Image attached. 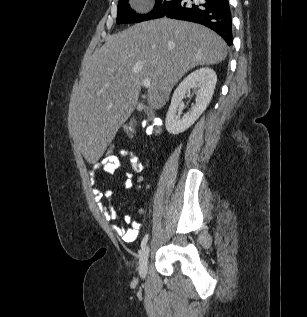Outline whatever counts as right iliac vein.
Listing matches in <instances>:
<instances>
[{
	"label": "right iliac vein",
	"instance_id": "obj_1",
	"mask_svg": "<svg viewBox=\"0 0 307 317\" xmlns=\"http://www.w3.org/2000/svg\"><path fill=\"white\" fill-rule=\"evenodd\" d=\"M149 247H144L140 252L139 257V275L141 278H145L148 271L149 262Z\"/></svg>",
	"mask_w": 307,
	"mask_h": 317
}]
</instances>
